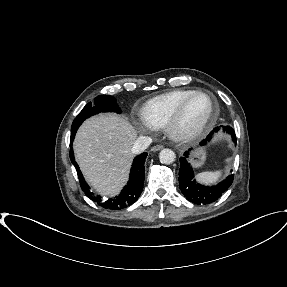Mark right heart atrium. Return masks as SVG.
<instances>
[{
  "mask_svg": "<svg viewBox=\"0 0 287 287\" xmlns=\"http://www.w3.org/2000/svg\"><path fill=\"white\" fill-rule=\"evenodd\" d=\"M141 128L144 132H152L155 129V127H153L151 124H149L148 122H146L143 119L141 122Z\"/></svg>",
  "mask_w": 287,
  "mask_h": 287,
  "instance_id": "d8ad5b80",
  "label": "right heart atrium"
}]
</instances>
